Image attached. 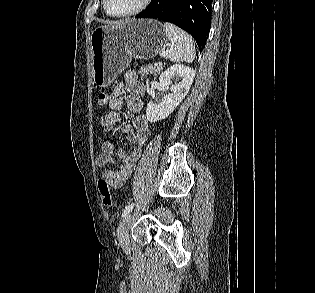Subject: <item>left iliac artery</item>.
I'll use <instances>...</instances> for the list:
<instances>
[{"instance_id": "44dca946", "label": "left iliac artery", "mask_w": 315, "mask_h": 293, "mask_svg": "<svg viewBox=\"0 0 315 293\" xmlns=\"http://www.w3.org/2000/svg\"><path fill=\"white\" fill-rule=\"evenodd\" d=\"M134 207V203L126 206L122 212V217L126 216Z\"/></svg>"}]
</instances>
